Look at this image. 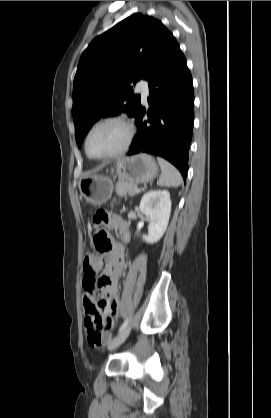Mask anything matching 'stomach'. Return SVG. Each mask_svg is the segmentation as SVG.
Listing matches in <instances>:
<instances>
[{
    "instance_id": "1",
    "label": "stomach",
    "mask_w": 271,
    "mask_h": 418,
    "mask_svg": "<svg viewBox=\"0 0 271 418\" xmlns=\"http://www.w3.org/2000/svg\"><path fill=\"white\" fill-rule=\"evenodd\" d=\"M115 170L121 181L146 184L156 177L158 166L152 156L138 154L117 161ZM79 189L87 203L99 206L110 198L113 184L104 175L91 174L80 180Z\"/></svg>"
}]
</instances>
